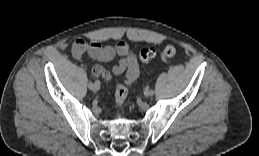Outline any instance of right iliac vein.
Masks as SVG:
<instances>
[{
    "instance_id": "63e3f726",
    "label": "right iliac vein",
    "mask_w": 259,
    "mask_h": 156,
    "mask_svg": "<svg viewBox=\"0 0 259 156\" xmlns=\"http://www.w3.org/2000/svg\"><path fill=\"white\" fill-rule=\"evenodd\" d=\"M93 92H97L99 90V85L96 83H92V86L89 87Z\"/></svg>"
}]
</instances>
